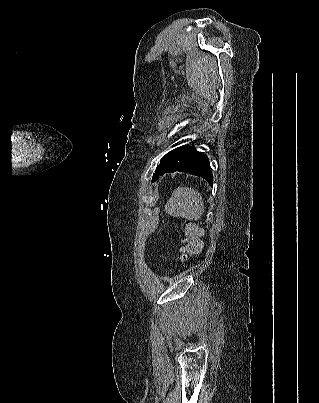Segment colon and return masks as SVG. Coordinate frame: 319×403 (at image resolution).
I'll list each match as a JSON object with an SVG mask.
<instances>
[{"instance_id":"colon-1","label":"colon","mask_w":319,"mask_h":403,"mask_svg":"<svg viewBox=\"0 0 319 403\" xmlns=\"http://www.w3.org/2000/svg\"><path fill=\"white\" fill-rule=\"evenodd\" d=\"M200 231L193 226H187L184 229V237L182 238L183 247L179 256V262L185 263L189 257L197 254L201 248Z\"/></svg>"}]
</instances>
